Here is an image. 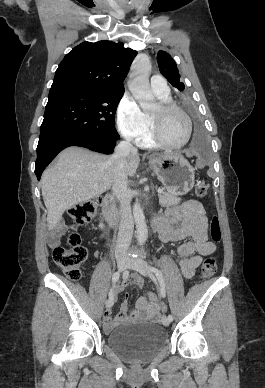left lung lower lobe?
<instances>
[{
  "label": "left lung lower lobe",
  "mask_w": 265,
  "mask_h": 388,
  "mask_svg": "<svg viewBox=\"0 0 265 388\" xmlns=\"http://www.w3.org/2000/svg\"><path fill=\"white\" fill-rule=\"evenodd\" d=\"M190 148L191 151L199 155H205L208 151L206 137L203 133L200 124L196 125Z\"/></svg>",
  "instance_id": "0a47b994"
}]
</instances>
